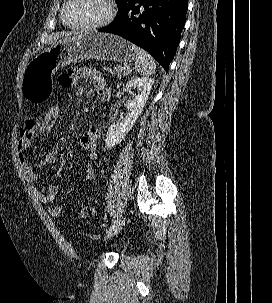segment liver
I'll list each match as a JSON object with an SVG mask.
<instances>
[{
  "label": "liver",
  "mask_w": 272,
  "mask_h": 303,
  "mask_svg": "<svg viewBox=\"0 0 272 303\" xmlns=\"http://www.w3.org/2000/svg\"><path fill=\"white\" fill-rule=\"evenodd\" d=\"M71 35H72L71 33H67V34H65V35L62 36V39L69 38V37H71ZM75 36H77V34H74L73 37H75ZM59 38H61V37L60 36H55V37H53V39L51 40V42L55 43V42L58 41Z\"/></svg>",
  "instance_id": "obj_1"
}]
</instances>
